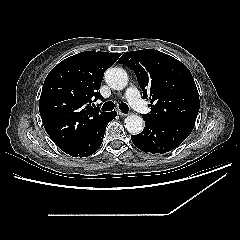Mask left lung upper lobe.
I'll use <instances>...</instances> for the list:
<instances>
[{"label": "left lung upper lobe", "mask_w": 240, "mask_h": 240, "mask_svg": "<svg viewBox=\"0 0 240 240\" xmlns=\"http://www.w3.org/2000/svg\"><path fill=\"white\" fill-rule=\"evenodd\" d=\"M119 61L135 72L143 97L151 100V112L143 114V118L196 121L199 95L192 74L184 64L153 49L127 52Z\"/></svg>", "instance_id": "1"}]
</instances>
